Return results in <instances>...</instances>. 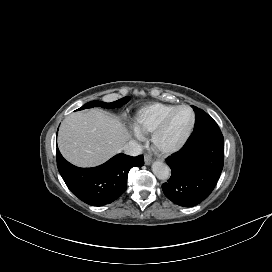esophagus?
Wrapping results in <instances>:
<instances>
[{
	"label": "esophagus",
	"mask_w": 272,
	"mask_h": 272,
	"mask_svg": "<svg viewBox=\"0 0 272 272\" xmlns=\"http://www.w3.org/2000/svg\"><path fill=\"white\" fill-rule=\"evenodd\" d=\"M144 160H145V164L149 165L152 162V157L146 154L144 157Z\"/></svg>",
	"instance_id": "esophagus-1"
}]
</instances>
